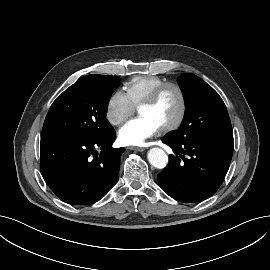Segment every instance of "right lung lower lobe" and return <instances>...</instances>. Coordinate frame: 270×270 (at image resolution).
<instances>
[{
	"instance_id": "98d812e1",
	"label": "right lung lower lobe",
	"mask_w": 270,
	"mask_h": 270,
	"mask_svg": "<svg viewBox=\"0 0 270 270\" xmlns=\"http://www.w3.org/2000/svg\"><path fill=\"white\" fill-rule=\"evenodd\" d=\"M115 139L114 129L99 139L41 136L40 169L48 187L69 204H93L102 199L118 176L125 150L111 147Z\"/></svg>"
}]
</instances>
